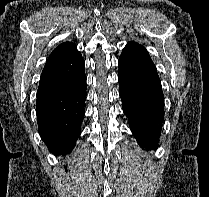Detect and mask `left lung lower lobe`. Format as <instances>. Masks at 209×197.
<instances>
[{"label": "left lung lower lobe", "mask_w": 209, "mask_h": 197, "mask_svg": "<svg viewBox=\"0 0 209 197\" xmlns=\"http://www.w3.org/2000/svg\"><path fill=\"white\" fill-rule=\"evenodd\" d=\"M119 94L130 129L142 148L155 149L163 123L164 97L147 50L128 43L119 58Z\"/></svg>", "instance_id": "0a47b994"}]
</instances>
